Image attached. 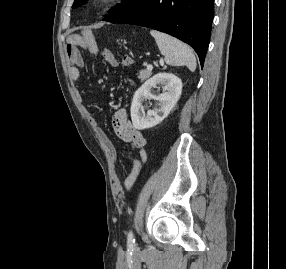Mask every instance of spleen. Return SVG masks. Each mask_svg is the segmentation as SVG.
Listing matches in <instances>:
<instances>
[{"mask_svg":"<svg viewBox=\"0 0 286 269\" xmlns=\"http://www.w3.org/2000/svg\"><path fill=\"white\" fill-rule=\"evenodd\" d=\"M150 34L155 38L157 46L165 62L171 66H186L192 72L195 71L197 63L191 48L182 41L165 33L151 30Z\"/></svg>","mask_w":286,"mask_h":269,"instance_id":"obj_1","label":"spleen"}]
</instances>
